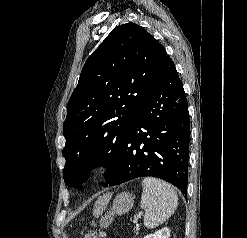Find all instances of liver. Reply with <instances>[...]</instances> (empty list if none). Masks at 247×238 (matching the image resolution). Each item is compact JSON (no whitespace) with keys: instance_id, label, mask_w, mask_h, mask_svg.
<instances>
[{"instance_id":"liver-1","label":"liver","mask_w":247,"mask_h":238,"mask_svg":"<svg viewBox=\"0 0 247 238\" xmlns=\"http://www.w3.org/2000/svg\"><path fill=\"white\" fill-rule=\"evenodd\" d=\"M112 194L111 193H107L101 197H99L96 202H95V205H94V209H93V214L95 216H99L103 210H104V207L105 205H107L109 199L111 198Z\"/></svg>"}]
</instances>
